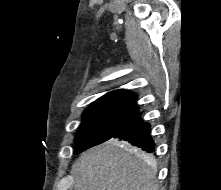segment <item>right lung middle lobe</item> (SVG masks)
<instances>
[{"label":"right lung middle lobe","instance_id":"1","mask_svg":"<svg viewBox=\"0 0 221 190\" xmlns=\"http://www.w3.org/2000/svg\"><path fill=\"white\" fill-rule=\"evenodd\" d=\"M138 110L113 105H90L75 136L76 154L112 138Z\"/></svg>","mask_w":221,"mask_h":190}]
</instances>
